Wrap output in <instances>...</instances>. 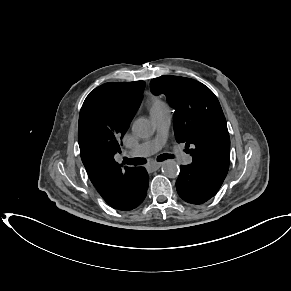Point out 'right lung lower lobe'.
I'll use <instances>...</instances> for the list:
<instances>
[{
	"label": "right lung lower lobe",
	"mask_w": 291,
	"mask_h": 291,
	"mask_svg": "<svg viewBox=\"0 0 291 291\" xmlns=\"http://www.w3.org/2000/svg\"><path fill=\"white\" fill-rule=\"evenodd\" d=\"M127 196L126 199L118 204L110 205L114 209L129 211L138 207L146 197L149 176L143 167L133 168L127 176Z\"/></svg>",
	"instance_id": "1"
}]
</instances>
